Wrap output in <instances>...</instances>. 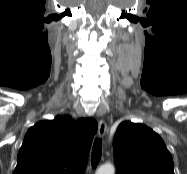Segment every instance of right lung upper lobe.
Here are the masks:
<instances>
[{"mask_svg": "<svg viewBox=\"0 0 187 174\" xmlns=\"http://www.w3.org/2000/svg\"><path fill=\"white\" fill-rule=\"evenodd\" d=\"M97 122L70 116L40 121L31 127L17 156L13 174H84Z\"/></svg>", "mask_w": 187, "mask_h": 174, "instance_id": "obj_1", "label": "right lung upper lobe"}]
</instances>
